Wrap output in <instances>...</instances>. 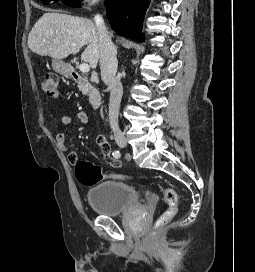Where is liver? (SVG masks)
<instances>
[{"mask_svg": "<svg viewBox=\"0 0 255 272\" xmlns=\"http://www.w3.org/2000/svg\"><path fill=\"white\" fill-rule=\"evenodd\" d=\"M75 46H72V44ZM87 45L81 59L96 68L100 59L99 36L90 19L67 14L47 12L36 22L28 36L29 49L53 60H62L77 54Z\"/></svg>", "mask_w": 255, "mask_h": 272, "instance_id": "liver-1", "label": "liver"}]
</instances>
